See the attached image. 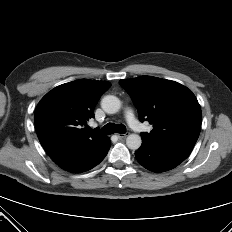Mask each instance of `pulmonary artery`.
Returning a JSON list of instances; mask_svg holds the SVG:
<instances>
[{"mask_svg": "<svg viewBox=\"0 0 232 232\" xmlns=\"http://www.w3.org/2000/svg\"><path fill=\"white\" fill-rule=\"evenodd\" d=\"M126 119L129 126L136 131H145V127L135 118L131 110L126 111Z\"/></svg>", "mask_w": 232, "mask_h": 232, "instance_id": "obj_1", "label": "pulmonary artery"}]
</instances>
